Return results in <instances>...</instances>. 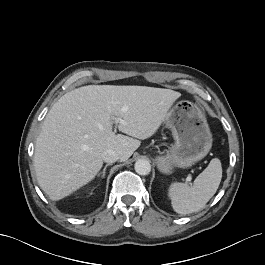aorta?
Returning <instances> with one entry per match:
<instances>
[{"label":"aorta","mask_w":265,"mask_h":265,"mask_svg":"<svg viewBox=\"0 0 265 265\" xmlns=\"http://www.w3.org/2000/svg\"><path fill=\"white\" fill-rule=\"evenodd\" d=\"M135 171L139 175H148L151 171V164L146 159H139L134 165Z\"/></svg>","instance_id":"1"}]
</instances>
